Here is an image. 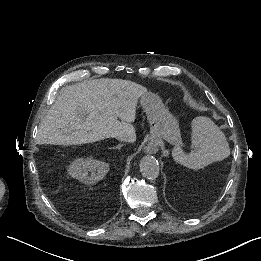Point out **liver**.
Listing matches in <instances>:
<instances>
[{"label":"liver","mask_w":261,"mask_h":261,"mask_svg":"<svg viewBox=\"0 0 261 261\" xmlns=\"http://www.w3.org/2000/svg\"><path fill=\"white\" fill-rule=\"evenodd\" d=\"M144 86L131 81L99 79L68 86L38 129L40 144L75 146L108 138L134 143L132 125Z\"/></svg>","instance_id":"obj_1"}]
</instances>
